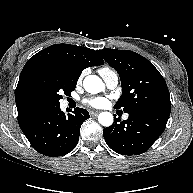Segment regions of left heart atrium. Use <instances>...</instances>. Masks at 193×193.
<instances>
[{"label":"left heart atrium","mask_w":193,"mask_h":193,"mask_svg":"<svg viewBox=\"0 0 193 193\" xmlns=\"http://www.w3.org/2000/svg\"><path fill=\"white\" fill-rule=\"evenodd\" d=\"M85 103L94 108H102L106 105L107 100L104 97H96L85 100Z\"/></svg>","instance_id":"obj_1"}]
</instances>
